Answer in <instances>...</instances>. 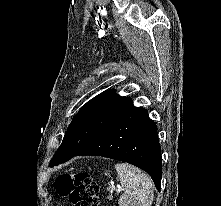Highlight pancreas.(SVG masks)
<instances>
[{"label": "pancreas", "instance_id": "cf45deb5", "mask_svg": "<svg viewBox=\"0 0 221 206\" xmlns=\"http://www.w3.org/2000/svg\"><path fill=\"white\" fill-rule=\"evenodd\" d=\"M112 198H113L112 195H110V196L108 197L109 200H111Z\"/></svg>", "mask_w": 221, "mask_h": 206}]
</instances>
